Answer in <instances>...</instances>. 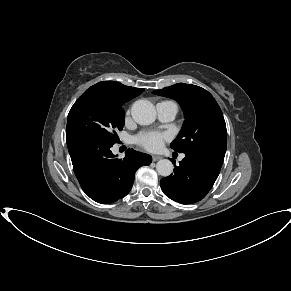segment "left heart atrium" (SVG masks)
Wrapping results in <instances>:
<instances>
[{
  "instance_id": "1",
  "label": "left heart atrium",
  "mask_w": 291,
  "mask_h": 291,
  "mask_svg": "<svg viewBox=\"0 0 291 291\" xmlns=\"http://www.w3.org/2000/svg\"><path fill=\"white\" fill-rule=\"evenodd\" d=\"M169 138V135L166 133L148 131L140 133L135 138V141L146 150L158 151L163 147L165 141L169 140Z\"/></svg>"
}]
</instances>
